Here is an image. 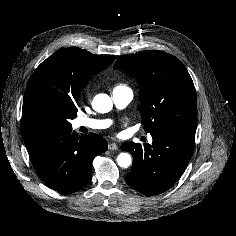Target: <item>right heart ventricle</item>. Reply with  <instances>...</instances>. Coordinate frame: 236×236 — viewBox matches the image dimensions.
<instances>
[{
	"mask_svg": "<svg viewBox=\"0 0 236 236\" xmlns=\"http://www.w3.org/2000/svg\"><path fill=\"white\" fill-rule=\"evenodd\" d=\"M118 87H125V86H123V85H120V86H118ZM117 88V87H116Z\"/></svg>",
	"mask_w": 236,
	"mask_h": 236,
	"instance_id": "e07e8e85",
	"label": "right heart ventricle"
}]
</instances>
